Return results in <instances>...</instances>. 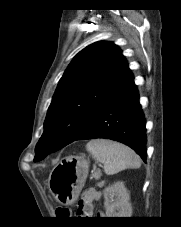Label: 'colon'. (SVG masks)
<instances>
[{
	"label": "colon",
	"mask_w": 181,
	"mask_h": 227,
	"mask_svg": "<svg viewBox=\"0 0 181 227\" xmlns=\"http://www.w3.org/2000/svg\"><path fill=\"white\" fill-rule=\"evenodd\" d=\"M69 213V210L67 208H61L59 210V214L61 215H67Z\"/></svg>",
	"instance_id": "1"
}]
</instances>
